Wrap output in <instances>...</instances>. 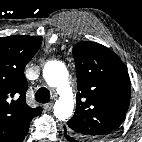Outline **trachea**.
I'll return each instance as SVG.
<instances>
[{"label": "trachea", "instance_id": "trachea-1", "mask_svg": "<svg viewBox=\"0 0 142 142\" xmlns=\"http://www.w3.org/2000/svg\"><path fill=\"white\" fill-rule=\"evenodd\" d=\"M35 100L39 103H48L50 101V92L47 88L41 87L35 94Z\"/></svg>", "mask_w": 142, "mask_h": 142}]
</instances>
